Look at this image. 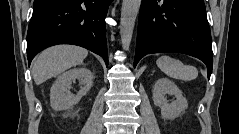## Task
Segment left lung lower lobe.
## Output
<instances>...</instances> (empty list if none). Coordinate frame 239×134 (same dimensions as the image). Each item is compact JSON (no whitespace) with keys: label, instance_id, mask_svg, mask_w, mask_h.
<instances>
[{"label":"left lung lower lobe","instance_id":"1","mask_svg":"<svg viewBox=\"0 0 239 134\" xmlns=\"http://www.w3.org/2000/svg\"><path fill=\"white\" fill-rule=\"evenodd\" d=\"M197 57L212 73L211 33L203 0H142L134 67L146 54Z\"/></svg>","mask_w":239,"mask_h":134}]
</instances>
